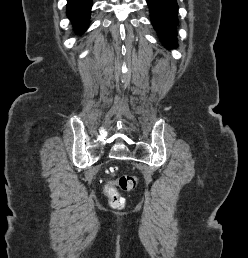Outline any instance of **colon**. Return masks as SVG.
<instances>
[{"mask_svg":"<svg viewBox=\"0 0 248 258\" xmlns=\"http://www.w3.org/2000/svg\"><path fill=\"white\" fill-rule=\"evenodd\" d=\"M119 187L126 192L134 191L137 187V178L132 175H123L116 181ZM105 193L112 207L122 209L126 205V199L119 193L114 183L105 186Z\"/></svg>","mask_w":248,"mask_h":258,"instance_id":"obj_1","label":"colon"}]
</instances>
